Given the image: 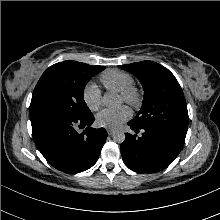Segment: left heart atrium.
Wrapping results in <instances>:
<instances>
[{"mask_svg": "<svg viewBox=\"0 0 220 220\" xmlns=\"http://www.w3.org/2000/svg\"><path fill=\"white\" fill-rule=\"evenodd\" d=\"M130 117V110L126 106L114 109H103L96 115V124L100 127L114 129Z\"/></svg>", "mask_w": 220, "mask_h": 220, "instance_id": "obj_1", "label": "left heart atrium"}]
</instances>
